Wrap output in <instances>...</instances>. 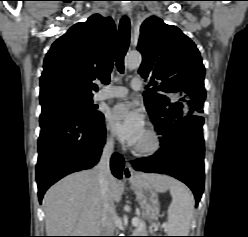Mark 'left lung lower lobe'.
Segmentation results:
<instances>
[{"instance_id": "1", "label": "left lung lower lobe", "mask_w": 248, "mask_h": 237, "mask_svg": "<svg viewBox=\"0 0 248 237\" xmlns=\"http://www.w3.org/2000/svg\"><path fill=\"white\" fill-rule=\"evenodd\" d=\"M203 117L177 119L160 138L161 149L150 158L132 162L137 171L167 174L184 182L198 204L204 188Z\"/></svg>"}]
</instances>
